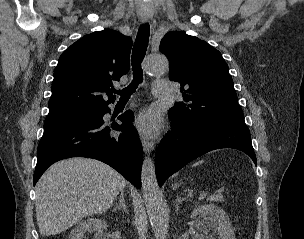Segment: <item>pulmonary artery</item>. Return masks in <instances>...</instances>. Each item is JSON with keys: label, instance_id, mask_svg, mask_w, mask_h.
<instances>
[{"label": "pulmonary artery", "instance_id": "1", "mask_svg": "<svg viewBox=\"0 0 304 239\" xmlns=\"http://www.w3.org/2000/svg\"><path fill=\"white\" fill-rule=\"evenodd\" d=\"M172 93L171 86L166 81H156L153 84V94L156 97H167Z\"/></svg>", "mask_w": 304, "mask_h": 239}]
</instances>
